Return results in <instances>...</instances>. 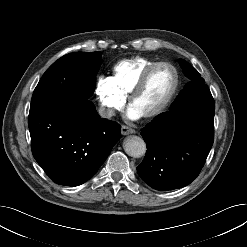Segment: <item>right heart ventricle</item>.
<instances>
[{"label": "right heart ventricle", "mask_w": 247, "mask_h": 247, "mask_svg": "<svg viewBox=\"0 0 247 247\" xmlns=\"http://www.w3.org/2000/svg\"><path fill=\"white\" fill-rule=\"evenodd\" d=\"M154 62L156 60L142 56L120 60L112 67L109 80L113 87L126 98L144 69Z\"/></svg>", "instance_id": "obj_1"}]
</instances>
